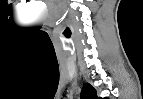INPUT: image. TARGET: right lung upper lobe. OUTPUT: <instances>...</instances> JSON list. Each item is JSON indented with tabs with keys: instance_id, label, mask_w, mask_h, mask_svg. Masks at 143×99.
I'll return each mask as SVG.
<instances>
[{
	"instance_id": "1",
	"label": "right lung upper lobe",
	"mask_w": 143,
	"mask_h": 99,
	"mask_svg": "<svg viewBox=\"0 0 143 99\" xmlns=\"http://www.w3.org/2000/svg\"><path fill=\"white\" fill-rule=\"evenodd\" d=\"M81 99H98L96 90L89 83L83 86Z\"/></svg>"
}]
</instances>
